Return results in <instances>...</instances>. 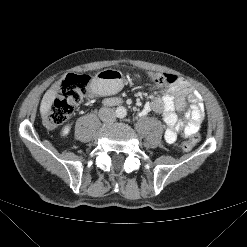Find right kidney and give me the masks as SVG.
Returning a JSON list of instances; mask_svg holds the SVG:
<instances>
[{"instance_id": "1", "label": "right kidney", "mask_w": 247, "mask_h": 247, "mask_svg": "<svg viewBox=\"0 0 247 247\" xmlns=\"http://www.w3.org/2000/svg\"><path fill=\"white\" fill-rule=\"evenodd\" d=\"M70 132V127L69 126H65L63 129H62V136H67Z\"/></svg>"}]
</instances>
